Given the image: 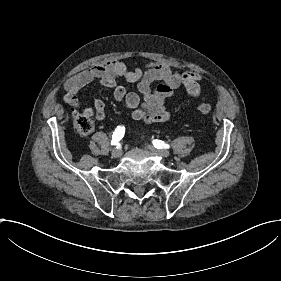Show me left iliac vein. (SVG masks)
<instances>
[{
  "instance_id": "4c4485c4",
  "label": "left iliac vein",
  "mask_w": 281,
  "mask_h": 281,
  "mask_svg": "<svg viewBox=\"0 0 281 281\" xmlns=\"http://www.w3.org/2000/svg\"><path fill=\"white\" fill-rule=\"evenodd\" d=\"M150 150V152H152V154H156V155H159V156H164V157H167L169 155V152L167 150H157L155 149V147H151V145L147 146Z\"/></svg>"
}]
</instances>
